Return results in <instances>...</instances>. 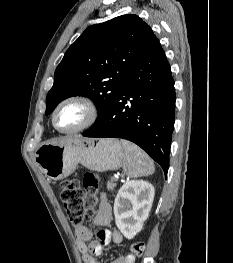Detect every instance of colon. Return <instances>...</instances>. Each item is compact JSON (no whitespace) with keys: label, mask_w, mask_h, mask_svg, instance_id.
Wrapping results in <instances>:
<instances>
[{"label":"colon","mask_w":233,"mask_h":263,"mask_svg":"<svg viewBox=\"0 0 233 263\" xmlns=\"http://www.w3.org/2000/svg\"><path fill=\"white\" fill-rule=\"evenodd\" d=\"M99 183V177L94 173H86L84 176L85 193L76 180L68 179L61 183V201L72 224L81 225L86 218L94 215ZM145 248L143 241H135L131 245V252L133 256L141 257Z\"/></svg>","instance_id":"obj_1"}]
</instances>
